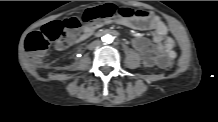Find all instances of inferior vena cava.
Segmentation results:
<instances>
[{"label": "inferior vena cava", "mask_w": 218, "mask_h": 122, "mask_svg": "<svg viewBox=\"0 0 218 122\" xmlns=\"http://www.w3.org/2000/svg\"><path fill=\"white\" fill-rule=\"evenodd\" d=\"M100 47V42L96 41V42H93L91 45H90V48L91 49H96Z\"/></svg>", "instance_id": "602c4592"}]
</instances>
